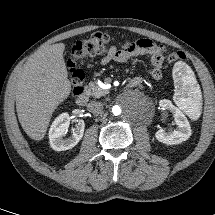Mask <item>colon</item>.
Instances as JSON below:
<instances>
[{
	"instance_id": "5ec220e1",
	"label": "colon",
	"mask_w": 215,
	"mask_h": 215,
	"mask_svg": "<svg viewBox=\"0 0 215 215\" xmlns=\"http://www.w3.org/2000/svg\"><path fill=\"white\" fill-rule=\"evenodd\" d=\"M113 42V38L103 34L94 33L90 37L78 41L72 48L71 58L68 60V66L71 74L72 96L77 97L82 93L83 73L76 69L75 62L78 59H88L104 53L108 46ZM169 62H175L185 59L182 52H172L167 56Z\"/></svg>"
}]
</instances>
